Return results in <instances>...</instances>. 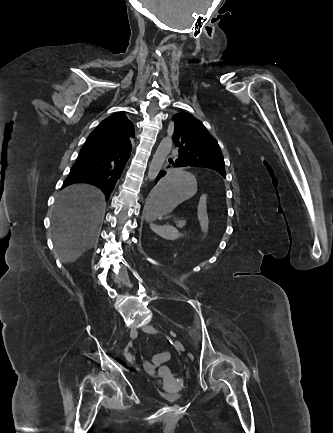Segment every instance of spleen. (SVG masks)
<instances>
[{"mask_svg":"<svg viewBox=\"0 0 333 433\" xmlns=\"http://www.w3.org/2000/svg\"><path fill=\"white\" fill-rule=\"evenodd\" d=\"M195 193L196 192H194V194ZM147 221L150 222L151 230L166 240H176L180 236H182L173 226L169 224L160 226L154 223L155 220H147Z\"/></svg>","mask_w":333,"mask_h":433,"instance_id":"1","label":"spleen"}]
</instances>
